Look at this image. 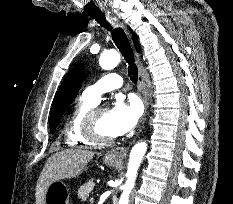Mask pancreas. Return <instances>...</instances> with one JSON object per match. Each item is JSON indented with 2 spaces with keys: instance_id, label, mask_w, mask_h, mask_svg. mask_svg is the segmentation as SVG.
Instances as JSON below:
<instances>
[{
  "instance_id": "1",
  "label": "pancreas",
  "mask_w": 233,
  "mask_h": 204,
  "mask_svg": "<svg viewBox=\"0 0 233 204\" xmlns=\"http://www.w3.org/2000/svg\"><path fill=\"white\" fill-rule=\"evenodd\" d=\"M94 182L93 179L89 180L88 182L84 183L79 189H78V197L81 199V201H86L89 197V194L92 192L94 188Z\"/></svg>"
}]
</instances>
